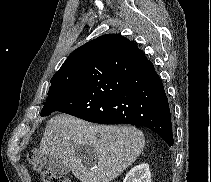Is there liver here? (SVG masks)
<instances>
[{"label": "liver", "mask_w": 211, "mask_h": 182, "mask_svg": "<svg viewBox=\"0 0 211 182\" xmlns=\"http://www.w3.org/2000/svg\"><path fill=\"white\" fill-rule=\"evenodd\" d=\"M88 146L96 159L83 161L78 146ZM144 134L132 126L92 125L67 114L51 118L40 143V156L59 158L81 182H110L141 154Z\"/></svg>", "instance_id": "liver-1"}]
</instances>
